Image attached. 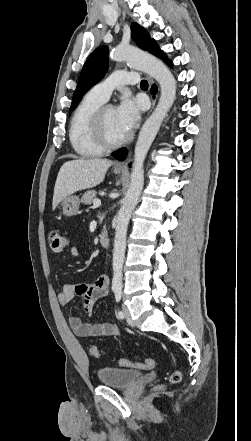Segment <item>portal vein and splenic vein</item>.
Returning <instances> with one entry per match:
<instances>
[{
    "label": "portal vein and splenic vein",
    "instance_id": "18ae733b",
    "mask_svg": "<svg viewBox=\"0 0 251 441\" xmlns=\"http://www.w3.org/2000/svg\"><path fill=\"white\" fill-rule=\"evenodd\" d=\"M93 205H94V207H99L101 205V200L100 199H95L93 201Z\"/></svg>",
    "mask_w": 251,
    "mask_h": 441
}]
</instances>
